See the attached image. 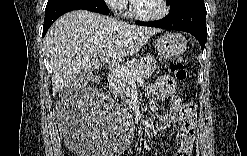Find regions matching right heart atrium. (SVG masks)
Masks as SVG:
<instances>
[{"instance_id": "1", "label": "right heart atrium", "mask_w": 247, "mask_h": 156, "mask_svg": "<svg viewBox=\"0 0 247 156\" xmlns=\"http://www.w3.org/2000/svg\"><path fill=\"white\" fill-rule=\"evenodd\" d=\"M108 6L116 12H122L125 8L126 2L124 0H109Z\"/></svg>"}]
</instances>
